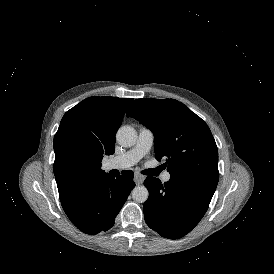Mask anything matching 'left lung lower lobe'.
Returning a JSON list of instances; mask_svg holds the SVG:
<instances>
[{
    "label": "left lung lower lobe",
    "mask_w": 274,
    "mask_h": 274,
    "mask_svg": "<svg viewBox=\"0 0 274 274\" xmlns=\"http://www.w3.org/2000/svg\"><path fill=\"white\" fill-rule=\"evenodd\" d=\"M144 185L149 191L144 203L145 221L169 239L183 237L198 224L217 186L172 176L164 184L155 177H147Z\"/></svg>",
    "instance_id": "0a47b994"
}]
</instances>
